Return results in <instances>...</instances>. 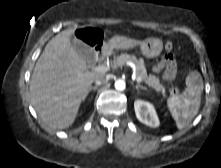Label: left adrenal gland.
<instances>
[{
	"mask_svg": "<svg viewBox=\"0 0 221 168\" xmlns=\"http://www.w3.org/2000/svg\"><path fill=\"white\" fill-rule=\"evenodd\" d=\"M135 89H136V90H139V89L147 90L146 87H144V86H142V85H140V84H137V85L135 86Z\"/></svg>",
	"mask_w": 221,
	"mask_h": 168,
	"instance_id": "left-adrenal-gland-1",
	"label": "left adrenal gland"
}]
</instances>
